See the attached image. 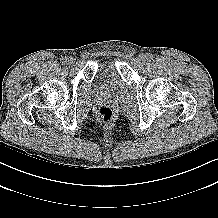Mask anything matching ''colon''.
Segmentation results:
<instances>
[{"instance_id":"1","label":"colon","mask_w":218,"mask_h":218,"mask_svg":"<svg viewBox=\"0 0 218 218\" xmlns=\"http://www.w3.org/2000/svg\"><path fill=\"white\" fill-rule=\"evenodd\" d=\"M96 118L104 125L111 123L113 119V111L107 106L99 107L95 112Z\"/></svg>"}]
</instances>
